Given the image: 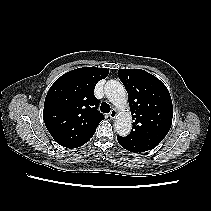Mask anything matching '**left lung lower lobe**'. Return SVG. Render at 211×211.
Wrapping results in <instances>:
<instances>
[{
	"instance_id": "1",
	"label": "left lung lower lobe",
	"mask_w": 211,
	"mask_h": 211,
	"mask_svg": "<svg viewBox=\"0 0 211 211\" xmlns=\"http://www.w3.org/2000/svg\"><path fill=\"white\" fill-rule=\"evenodd\" d=\"M117 140H118L119 144L122 146V143L120 142V140L118 138H117Z\"/></svg>"
}]
</instances>
